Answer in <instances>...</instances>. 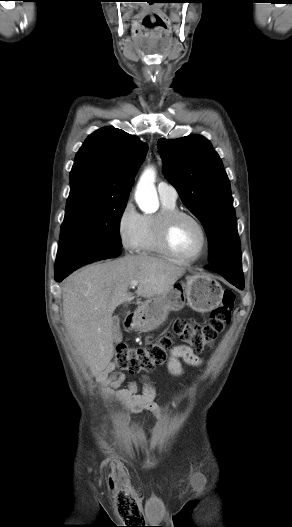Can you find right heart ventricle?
Returning <instances> with one entry per match:
<instances>
[{
	"mask_svg": "<svg viewBox=\"0 0 292 527\" xmlns=\"http://www.w3.org/2000/svg\"><path fill=\"white\" fill-rule=\"evenodd\" d=\"M161 204H162V207H161L160 212L177 209V203L176 201H173V200H169V199L161 197ZM158 214L141 215V222H140V227L138 230L136 247H135L136 252L140 254L167 256L159 247L157 239H156L155 224H156V217Z\"/></svg>",
	"mask_w": 292,
	"mask_h": 527,
	"instance_id": "right-heart-ventricle-1",
	"label": "right heart ventricle"
}]
</instances>
